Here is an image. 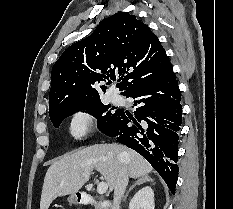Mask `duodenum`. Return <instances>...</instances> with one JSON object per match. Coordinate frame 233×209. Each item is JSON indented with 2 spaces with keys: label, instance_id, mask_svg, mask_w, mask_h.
<instances>
[{
  "label": "duodenum",
  "instance_id": "obj_1",
  "mask_svg": "<svg viewBox=\"0 0 233 209\" xmlns=\"http://www.w3.org/2000/svg\"><path fill=\"white\" fill-rule=\"evenodd\" d=\"M78 202L83 205H90L96 207V209H111V202L107 200L98 201L91 195L83 193L78 197Z\"/></svg>",
  "mask_w": 233,
  "mask_h": 209
}]
</instances>
